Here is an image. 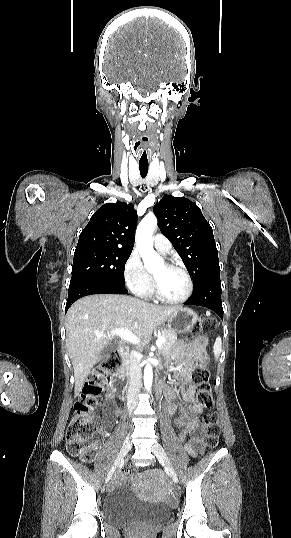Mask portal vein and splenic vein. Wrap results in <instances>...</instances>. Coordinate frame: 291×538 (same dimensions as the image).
<instances>
[{
	"label": "portal vein and splenic vein",
	"instance_id": "18ae733b",
	"mask_svg": "<svg viewBox=\"0 0 291 538\" xmlns=\"http://www.w3.org/2000/svg\"><path fill=\"white\" fill-rule=\"evenodd\" d=\"M95 334L98 337L105 336L104 334H101L99 332H95ZM108 335L119 336L121 339H123L125 341H128V342H130L132 344H135V345L140 343V339L137 336H135L133 333H131L127 328H121V329L112 330L110 332V334H108ZM164 342H166V340L162 336H158L157 340H156V346L161 347Z\"/></svg>",
	"mask_w": 291,
	"mask_h": 538
}]
</instances>
